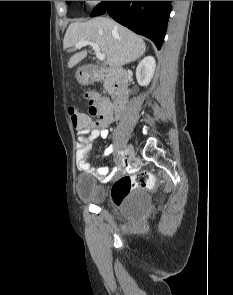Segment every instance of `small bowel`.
Here are the masks:
<instances>
[{"instance_id":"c3829d8e","label":"small bowel","mask_w":233,"mask_h":295,"mask_svg":"<svg viewBox=\"0 0 233 295\" xmlns=\"http://www.w3.org/2000/svg\"><path fill=\"white\" fill-rule=\"evenodd\" d=\"M98 105L105 111V117L94 127L78 130V143L76 152L77 168L91 174L103 183L110 181V179L122 168V158L116 156L114 159L115 165L113 167L103 166L100 168H92L90 164V155L93 148V143L97 138H107L109 131L108 126L114 121L116 116L112 113L111 105L108 99L96 96ZM114 151L112 144L108 145L104 150L102 157L110 156Z\"/></svg>"}]
</instances>
